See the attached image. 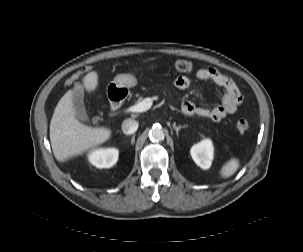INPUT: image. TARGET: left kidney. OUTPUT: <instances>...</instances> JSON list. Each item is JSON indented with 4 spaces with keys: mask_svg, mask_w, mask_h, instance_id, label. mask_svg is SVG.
Segmentation results:
<instances>
[{
    "mask_svg": "<svg viewBox=\"0 0 303 252\" xmlns=\"http://www.w3.org/2000/svg\"><path fill=\"white\" fill-rule=\"evenodd\" d=\"M190 154L194 162L203 170L209 169L214 157V147L210 139H203L193 145Z\"/></svg>",
    "mask_w": 303,
    "mask_h": 252,
    "instance_id": "left-kidney-1",
    "label": "left kidney"
}]
</instances>
